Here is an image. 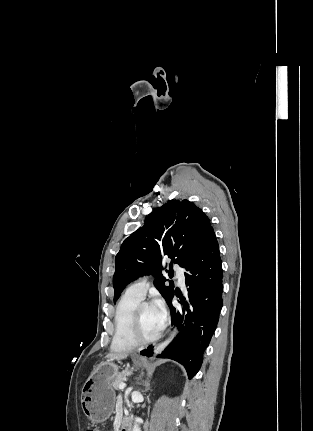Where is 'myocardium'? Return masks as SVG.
Listing matches in <instances>:
<instances>
[{
    "label": "myocardium",
    "mask_w": 313,
    "mask_h": 431,
    "mask_svg": "<svg viewBox=\"0 0 313 431\" xmlns=\"http://www.w3.org/2000/svg\"><path fill=\"white\" fill-rule=\"evenodd\" d=\"M148 306L146 303H139L133 312L131 329H130V337L136 346L147 345L157 341L162 331L159 330L155 335L151 337H144L141 333V315L142 309Z\"/></svg>",
    "instance_id": "obj_1"
}]
</instances>
